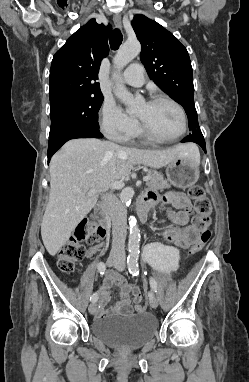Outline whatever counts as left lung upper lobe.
Wrapping results in <instances>:
<instances>
[{
  "instance_id": "obj_1",
  "label": "left lung upper lobe",
  "mask_w": 249,
  "mask_h": 382,
  "mask_svg": "<svg viewBox=\"0 0 249 382\" xmlns=\"http://www.w3.org/2000/svg\"><path fill=\"white\" fill-rule=\"evenodd\" d=\"M132 26L142 45L140 59L150 79L185 109L191 134L201 133L186 48L172 33L144 15H135Z\"/></svg>"
}]
</instances>
